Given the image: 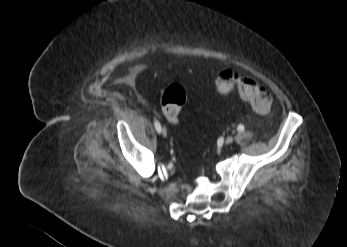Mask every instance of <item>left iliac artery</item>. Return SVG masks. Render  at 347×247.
<instances>
[{"instance_id": "left-iliac-artery-1", "label": "left iliac artery", "mask_w": 347, "mask_h": 247, "mask_svg": "<svg viewBox=\"0 0 347 247\" xmlns=\"http://www.w3.org/2000/svg\"><path fill=\"white\" fill-rule=\"evenodd\" d=\"M237 130L239 132H243L245 130L244 126L242 124L238 125Z\"/></svg>"}]
</instances>
